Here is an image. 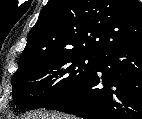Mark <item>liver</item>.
<instances>
[{"instance_id":"6515ba94","label":"liver","mask_w":142,"mask_h":119,"mask_svg":"<svg viewBox=\"0 0 142 119\" xmlns=\"http://www.w3.org/2000/svg\"><path fill=\"white\" fill-rule=\"evenodd\" d=\"M23 119H77V117L66 115V114H51L42 113V112H33L29 113L27 116L23 117Z\"/></svg>"}]
</instances>
